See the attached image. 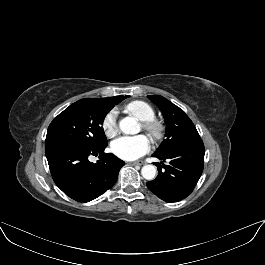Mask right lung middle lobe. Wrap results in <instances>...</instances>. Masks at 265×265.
<instances>
[{
    "instance_id": "dd1d6c3e",
    "label": "right lung middle lobe",
    "mask_w": 265,
    "mask_h": 265,
    "mask_svg": "<svg viewBox=\"0 0 265 265\" xmlns=\"http://www.w3.org/2000/svg\"><path fill=\"white\" fill-rule=\"evenodd\" d=\"M112 108L96 98H85L71 104L51 122L45 143L74 142L86 147L106 145L102 124Z\"/></svg>"
}]
</instances>
